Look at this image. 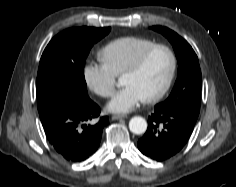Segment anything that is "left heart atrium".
<instances>
[{"label": "left heart atrium", "instance_id": "obj_1", "mask_svg": "<svg viewBox=\"0 0 236 187\" xmlns=\"http://www.w3.org/2000/svg\"><path fill=\"white\" fill-rule=\"evenodd\" d=\"M143 99L142 95L133 86L128 85L114 95L108 103L107 109L113 113H128Z\"/></svg>", "mask_w": 236, "mask_h": 187}]
</instances>
